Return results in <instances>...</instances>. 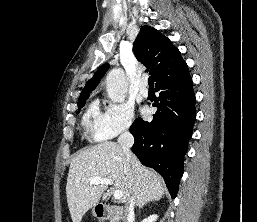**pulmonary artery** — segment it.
Returning a JSON list of instances; mask_svg holds the SVG:
<instances>
[{
	"label": "pulmonary artery",
	"mask_w": 257,
	"mask_h": 222,
	"mask_svg": "<svg viewBox=\"0 0 257 222\" xmlns=\"http://www.w3.org/2000/svg\"><path fill=\"white\" fill-rule=\"evenodd\" d=\"M139 92L143 97H147L149 94L148 88H147V82L146 80H142L140 87H139Z\"/></svg>",
	"instance_id": "1"
}]
</instances>
